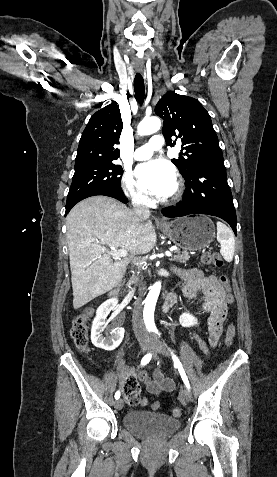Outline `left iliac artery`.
<instances>
[{
	"label": "left iliac artery",
	"instance_id": "left-iliac-artery-1",
	"mask_svg": "<svg viewBox=\"0 0 277 477\" xmlns=\"http://www.w3.org/2000/svg\"><path fill=\"white\" fill-rule=\"evenodd\" d=\"M154 331H155L157 334H159L157 330H154ZM172 358H173V361H174V366H175L176 368H178V370H179V372H180V375H181V377H182V380H183L184 384L186 385L187 388H190L188 378H187V376H186V374H185V371H184V369H183V367H182V365H181L179 359H178L173 353H172Z\"/></svg>",
	"mask_w": 277,
	"mask_h": 477
}]
</instances>
